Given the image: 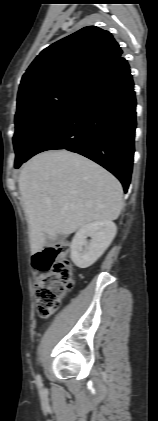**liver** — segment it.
<instances>
[{"mask_svg":"<svg viewBox=\"0 0 158 421\" xmlns=\"http://www.w3.org/2000/svg\"><path fill=\"white\" fill-rule=\"evenodd\" d=\"M19 190L32 253L46 237L68 235L95 221H113L123 206L120 182L91 160L67 150L42 152L24 164Z\"/></svg>","mask_w":158,"mask_h":421,"instance_id":"6515ba94","label":"liver"}]
</instances>
